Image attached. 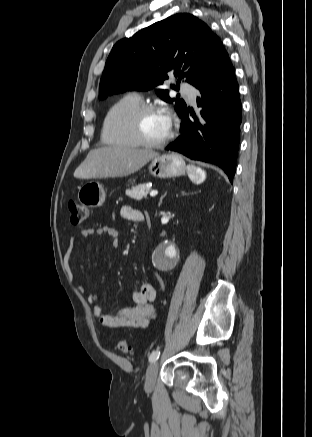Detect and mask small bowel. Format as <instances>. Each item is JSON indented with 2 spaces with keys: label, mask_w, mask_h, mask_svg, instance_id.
<instances>
[{
  "label": "small bowel",
  "mask_w": 312,
  "mask_h": 437,
  "mask_svg": "<svg viewBox=\"0 0 312 437\" xmlns=\"http://www.w3.org/2000/svg\"><path fill=\"white\" fill-rule=\"evenodd\" d=\"M121 216L129 221L141 222L144 220V215L129 205H124L121 208ZM108 235L113 242V245L117 247L120 243V236L118 231L112 226H102L98 229H83L80 232V237L86 238L91 235ZM80 291L84 290V287L79 285ZM133 298L135 306L123 307L115 314H109L105 312L103 306L99 303V293L93 290L88 295V301L93 305V315L98 322L104 327L117 328V327H133L144 328L149 325V322L155 317V301L157 298L156 290L149 283H142L139 288L134 292Z\"/></svg>",
  "instance_id": "small-bowel-1"
}]
</instances>
